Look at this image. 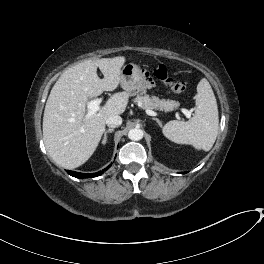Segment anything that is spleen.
<instances>
[{
    "label": "spleen",
    "mask_w": 264,
    "mask_h": 264,
    "mask_svg": "<svg viewBox=\"0 0 264 264\" xmlns=\"http://www.w3.org/2000/svg\"><path fill=\"white\" fill-rule=\"evenodd\" d=\"M218 107L213 90L203 78L197 85L196 109L188 121L172 120L166 123L162 132L166 138L178 143L189 144L196 149L209 151L218 135Z\"/></svg>",
    "instance_id": "3e777b00"
}]
</instances>
